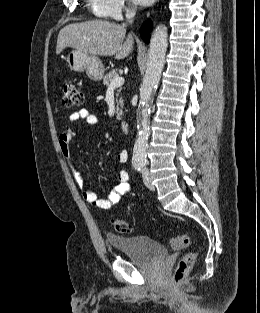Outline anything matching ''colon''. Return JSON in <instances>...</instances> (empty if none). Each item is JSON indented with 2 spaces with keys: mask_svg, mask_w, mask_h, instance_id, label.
<instances>
[{
  "mask_svg": "<svg viewBox=\"0 0 260 313\" xmlns=\"http://www.w3.org/2000/svg\"><path fill=\"white\" fill-rule=\"evenodd\" d=\"M82 103V94L75 83H66L63 87V104L66 107L79 106ZM114 229L121 234H130L133 232L132 224L122 219H114L112 221ZM192 233H185L180 236L173 237L170 240V245L173 249H182L189 246ZM197 251L187 252L178 262L172 282L177 284L184 279L193 268L197 259Z\"/></svg>",
  "mask_w": 260,
  "mask_h": 313,
  "instance_id": "obj_1",
  "label": "colon"
}]
</instances>
